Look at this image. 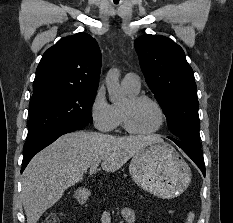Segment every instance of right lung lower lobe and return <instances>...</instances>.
<instances>
[{"label":"right lung lower lobe","mask_w":233,"mask_h":223,"mask_svg":"<svg viewBox=\"0 0 233 223\" xmlns=\"http://www.w3.org/2000/svg\"><path fill=\"white\" fill-rule=\"evenodd\" d=\"M86 125H83L81 123H72L65 125L61 127L59 130H57L55 133L51 134L47 138H45L41 143H39L37 146L29 150L28 152L24 153V158L22 162V169L21 173L29 163V161L32 159V157L37 154L39 151H41L46 146L50 145L52 142H54L58 137H60L63 134L73 132L79 129L84 128Z\"/></svg>","instance_id":"1"}]
</instances>
